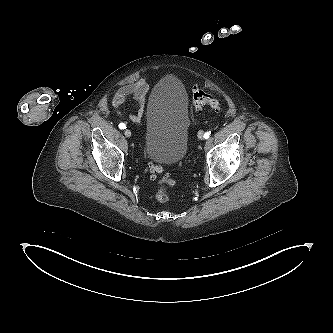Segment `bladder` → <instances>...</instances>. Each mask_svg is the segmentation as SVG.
Returning a JSON list of instances; mask_svg holds the SVG:
<instances>
[{"mask_svg":"<svg viewBox=\"0 0 333 333\" xmlns=\"http://www.w3.org/2000/svg\"><path fill=\"white\" fill-rule=\"evenodd\" d=\"M189 100L182 81L167 75L150 93L144 127V150L155 162L176 164L188 150Z\"/></svg>","mask_w":333,"mask_h":333,"instance_id":"1","label":"bladder"}]
</instances>
